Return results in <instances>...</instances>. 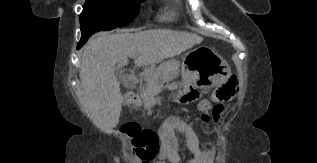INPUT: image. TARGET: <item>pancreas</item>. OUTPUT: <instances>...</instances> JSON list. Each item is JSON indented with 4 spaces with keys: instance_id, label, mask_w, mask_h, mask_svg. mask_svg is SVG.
<instances>
[{
    "instance_id": "1",
    "label": "pancreas",
    "mask_w": 317,
    "mask_h": 163,
    "mask_svg": "<svg viewBox=\"0 0 317 163\" xmlns=\"http://www.w3.org/2000/svg\"><path fill=\"white\" fill-rule=\"evenodd\" d=\"M180 62L173 59L161 63L157 68L152 67L146 72V84L141 90L145 107H151L156 96L162 91L163 84L168 83L179 75Z\"/></svg>"
}]
</instances>
